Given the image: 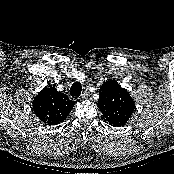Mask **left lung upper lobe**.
Listing matches in <instances>:
<instances>
[{"mask_svg":"<svg viewBox=\"0 0 174 174\" xmlns=\"http://www.w3.org/2000/svg\"><path fill=\"white\" fill-rule=\"evenodd\" d=\"M98 108L109 124L120 127L131 117L135 103L126 89L109 80L100 87Z\"/></svg>","mask_w":174,"mask_h":174,"instance_id":"1","label":"left lung upper lobe"}]
</instances>
